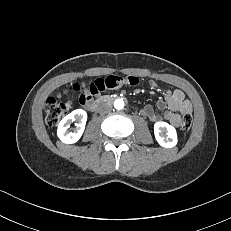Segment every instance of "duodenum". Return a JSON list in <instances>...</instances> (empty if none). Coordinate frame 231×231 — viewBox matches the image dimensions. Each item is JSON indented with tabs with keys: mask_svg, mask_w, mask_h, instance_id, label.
I'll list each match as a JSON object with an SVG mask.
<instances>
[{
	"mask_svg": "<svg viewBox=\"0 0 231 231\" xmlns=\"http://www.w3.org/2000/svg\"><path fill=\"white\" fill-rule=\"evenodd\" d=\"M112 100V97L109 95H102L98 98H96L90 105H89V109L91 111H96L98 109V107L106 102H109Z\"/></svg>",
	"mask_w": 231,
	"mask_h": 231,
	"instance_id": "obj_1",
	"label": "duodenum"
}]
</instances>
